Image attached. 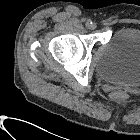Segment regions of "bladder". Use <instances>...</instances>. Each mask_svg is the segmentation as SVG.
<instances>
[{"label":"bladder","instance_id":"bladder-1","mask_svg":"<svg viewBox=\"0 0 140 140\" xmlns=\"http://www.w3.org/2000/svg\"><path fill=\"white\" fill-rule=\"evenodd\" d=\"M96 72L110 83L140 86V26L126 24L112 33L97 60Z\"/></svg>","mask_w":140,"mask_h":140}]
</instances>
